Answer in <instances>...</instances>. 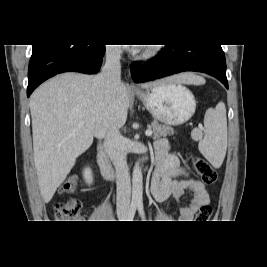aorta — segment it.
I'll return each mask as SVG.
<instances>
[{
    "label": "aorta",
    "mask_w": 267,
    "mask_h": 267,
    "mask_svg": "<svg viewBox=\"0 0 267 267\" xmlns=\"http://www.w3.org/2000/svg\"><path fill=\"white\" fill-rule=\"evenodd\" d=\"M143 195V176L139 165H136L133 169L132 176V199L136 202L142 201Z\"/></svg>",
    "instance_id": "obj_1"
}]
</instances>
